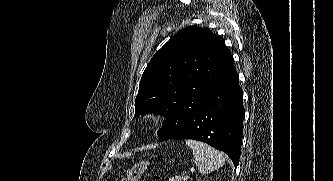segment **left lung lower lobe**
Segmentation results:
<instances>
[{
  "mask_svg": "<svg viewBox=\"0 0 333 181\" xmlns=\"http://www.w3.org/2000/svg\"><path fill=\"white\" fill-rule=\"evenodd\" d=\"M239 76L234 65L210 88L195 111L168 121V131L159 137L194 139L225 152L237 167L243 136L244 107Z\"/></svg>",
  "mask_w": 333,
  "mask_h": 181,
  "instance_id": "1",
  "label": "left lung lower lobe"
}]
</instances>
